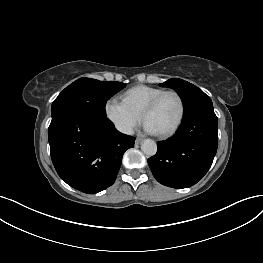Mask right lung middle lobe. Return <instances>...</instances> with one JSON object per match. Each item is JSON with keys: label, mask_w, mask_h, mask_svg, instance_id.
Returning a JSON list of instances; mask_svg holds the SVG:
<instances>
[{"label": "right lung middle lobe", "mask_w": 263, "mask_h": 263, "mask_svg": "<svg viewBox=\"0 0 263 263\" xmlns=\"http://www.w3.org/2000/svg\"><path fill=\"white\" fill-rule=\"evenodd\" d=\"M124 87L125 84L121 82L80 78L66 87L53 101L52 119L67 111L105 116L106 101Z\"/></svg>", "instance_id": "right-lung-middle-lobe-1"}]
</instances>
